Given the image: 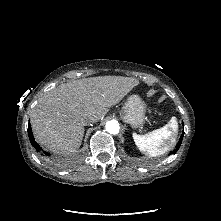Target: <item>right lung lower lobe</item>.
Instances as JSON below:
<instances>
[{
	"label": "right lung lower lobe",
	"instance_id": "98d812e1",
	"mask_svg": "<svg viewBox=\"0 0 221 221\" xmlns=\"http://www.w3.org/2000/svg\"><path fill=\"white\" fill-rule=\"evenodd\" d=\"M28 136H29V140L32 144V146L37 149V150H42V148L36 143L34 137H33V134H32V130H31V127L30 125L28 126ZM45 155L49 156L50 154L47 153V152H44Z\"/></svg>",
	"mask_w": 221,
	"mask_h": 221
}]
</instances>
